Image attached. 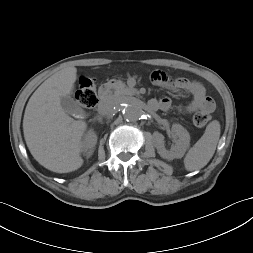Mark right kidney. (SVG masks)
<instances>
[{
    "mask_svg": "<svg viewBox=\"0 0 253 253\" xmlns=\"http://www.w3.org/2000/svg\"><path fill=\"white\" fill-rule=\"evenodd\" d=\"M96 143V133L93 130H89L82 141V151L87 157H90L93 154Z\"/></svg>",
    "mask_w": 253,
    "mask_h": 253,
    "instance_id": "ca27d5eb",
    "label": "right kidney"
}]
</instances>
